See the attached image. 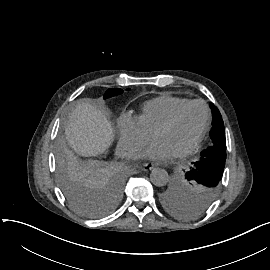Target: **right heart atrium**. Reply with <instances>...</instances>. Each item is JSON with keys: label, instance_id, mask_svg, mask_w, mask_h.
Returning a JSON list of instances; mask_svg holds the SVG:
<instances>
[{"label": "right heart atrium", "instance_id": "1", "mask_svg": "<svg viewBox=\"0 0 270 270\" xmlns=\"http://www.w3.org/2000/svg\"><path fill=\"white\" fill-rule=\"evenodd\" d=\"M117 154L122 158H135L150 140L135 118L123 115L117 125Z\"/></svg>", "mask_w": 270, "mask_h": 270}]
</instances>
